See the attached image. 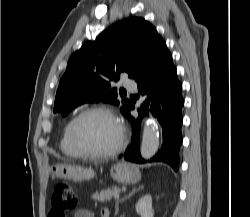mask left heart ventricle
Here are the masks:
<instances>
[{"label":"left heart ventricle","instance_id":"left-heart-ventricle-1","mask_svg":"<svg viewBox=\"0 0 250 217\" xmlns=\"http://www.w3.org/2000/svg\"><path fill=\"white\" fill-rule=\"evenodd\" d=\"M76 134L81 146L92 152L110 150L119 139L116 123L103 113H91L80 119Z\"/></svg>","mask_w":250,"mask_h":217}]
</instances>
